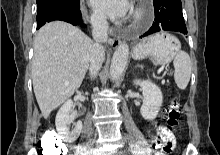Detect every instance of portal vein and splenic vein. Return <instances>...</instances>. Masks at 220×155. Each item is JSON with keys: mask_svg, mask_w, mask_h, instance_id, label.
Here are the masks:
<instances>
[{"mask_svg": "<svg viewBox=\"0 0 220 155\" xmlns=\"http://www.w3.org/2000/svg\"><path fill=\"white\" fill-rule=\"evenodd\" d=\"M162 69H163V67H161V68H160V70H162ZM164 83H165V81H164V80H162V84H164Z\"/></svg>", "mask_w": 220, "mask_h": 155, "instance_id": "obj_1", "label": "portal vein and splenic vein"}]
</instances>
